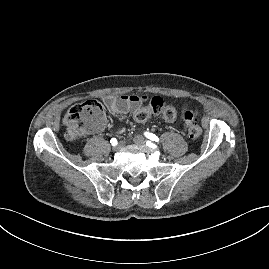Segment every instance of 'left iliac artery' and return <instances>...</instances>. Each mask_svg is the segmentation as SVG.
Wrapping results in <instances>:
<instances>
[{
    "instance_id": "obj_1",
    "label": "left iliac artery",
    "mask_w": 269,
    "mask_h": 269,
    "mask_svg": "<svg viewBox=\"0 0 269 269\" xmlns=\"http://www.w3.org/2000/svg\"><path fill=\"white\" fill-rule=\"evenodd\" d=\"M144 135H145L146 138H148V139H150V140H152V141H156V142L159 141L158 136H156V135L153 134V133H150V132H144Z\"/></svg>"
}]
</instances>
